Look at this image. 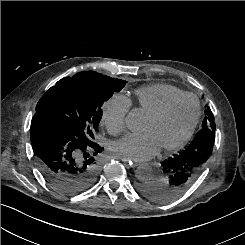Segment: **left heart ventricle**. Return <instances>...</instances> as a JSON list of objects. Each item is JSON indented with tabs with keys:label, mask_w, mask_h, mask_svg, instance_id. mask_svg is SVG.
Wrapping results in <instances>:
<instances>
[{
	"label": "left heart ventricle",
	"mask_w": 245,
	"mask_h": 245,
	"mask_svg": "<svg viewBox=\"0 0 245 245\" xmlns=\"http://www.w3.org/2000/svg\"><path fill=\"white\" fill-rule=\"evenodd\" d=\"M196 114V102L192 98L174 104L165 115L156 120L147 117L142 131L150 133L159 147L176 143L191 125Z\"/></svg>",
	"instance_id": "obj_1"
}]
</instances>
